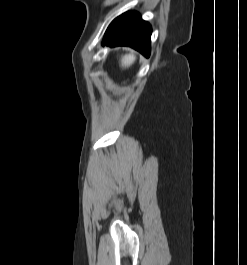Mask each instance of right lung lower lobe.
<instances>
[{
	"label": "right lung lower lobe",
	"mask_w": 247,
	"mask_h": 265,
	"mask_svg": "<svg viewBox=\"0 0 247 265\" xmlns=\"http://www.w3.org/2000/svg\"><path fill=\"white\" fill-rule=\"evenodd\" d=\"M150 36L151 26L137 12H126L109 25L103 45L130 46L148 57Z\"/></svg>",
	"instance_id": "98d812e1"
}]
</instances>
